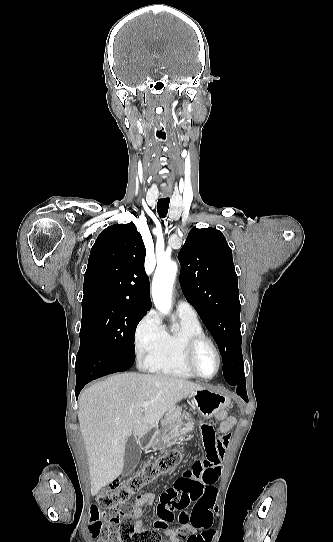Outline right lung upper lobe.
Here are the masks:
<instances>
[{
	"label": "right lung upper lobe",
	"instance_id": "1",
	"mask_svg": "<svg viewBox=\"0 0 333 542\" xmlns=\"http://www.w3.org/2000/svg\"><path fill=\"white\" fill-rule=\"evenodd\" d=\"M145 255L142 237L132 222L104 229L90 252L82 306L114 304L147 312L151 300Z\"/></svg>",
	"mask_w": 333,
	"mask_h": 542
}]
</instances>
